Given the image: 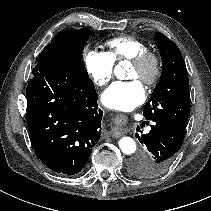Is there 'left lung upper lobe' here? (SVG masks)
Listing matches in <instances>:
<instances>
[{
  "label": "left lung upper lobe",
  "mask_w": 211,
  "mask_h": 211,
  "mask_svg": "<svg viewBox=\"0 0 211 211\" xmlns=\"http://www.w3.org/2000/svg\"><path fill=\"white\" fill-rule=\"evenodd\" d=\"M155 43L162 58L159 82L143 108L146 120H168L183 130L189 118V79L182 54L175 43L162 33H155ZM134 173V171L131 170ZM137 176V175H136Z\"/></svg>",
  "instance_id": "1"
}]
</instances>
